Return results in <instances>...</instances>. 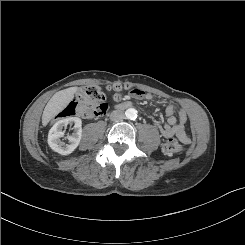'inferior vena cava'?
Instances as JSON below:
<instances>
[{"label": "inferior vena cava", "mask_w": 245, "mask_h": 245, "mask_svg": "<svg viewBox=\"0 0 245 245\" xmlns=\"http://www.w3.org/2000/svg\"><path fill=\"white\" fill-rule=\"evenodd\" d=\"M124 118H125V115H124L123 111H121V110H114L110 114V119H111V121H114V122L121 121Z\"/></svg>", "instance_id": "obj_1"}]
</instances>
